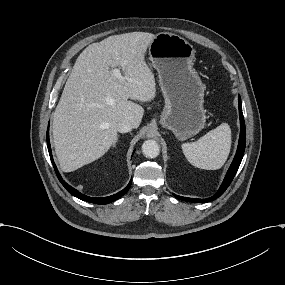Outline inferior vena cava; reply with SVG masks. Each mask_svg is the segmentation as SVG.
<instances>
[{
  "label": "inferior vena cava",
  "instance_id": "1",
  "mask_svg": "<svg viewBox=\"0 0 285 285\" xmlns=\"http://www.w3.org/2000/svg\"><path fill=\"white\" fill-rule=\"evenodd\" d=\"M132 128V124L127 120H123L117 124V131L120 133L129 132Z\"/></svg>",
  "mask_w": 285,
  "mask_h": 285
}]
</instances>
